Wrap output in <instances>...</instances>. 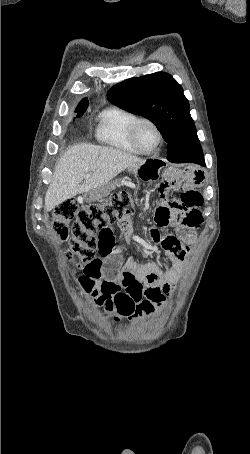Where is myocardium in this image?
<instances>
[{
  "label": "myocardium",
  "mask_w": 250,
  "mask_h": 454,
  "mask_svg": "<svg viewBox=\"0 0 250 454\" xmlns=\"http://www.w3.org/2000/svg\"><path fill=\"white\" fill-rule=\"evenodd\" d=\"M141 124H149L151 127H153V129L155 130V132L157 134V143H156L155 147L150 150L145 149L141 145V143L138 139V129ZM130 137H131L132 143L136 146V148L141 153H144V154L155 153L160 148V146L162 145V142H163V134H162L160 127L158 126V124L155 121H153L152 119L147 118V117H137L135 119V121L131 125Z\"/></svg>",
  "instance_id": "f54148a6"
}]
</instances>
